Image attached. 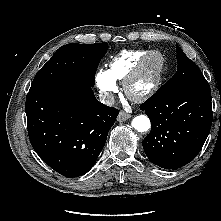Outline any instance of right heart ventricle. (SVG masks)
<instances>
[{"mask_svg": "<svg viewBox=\"0 0 221 221\" xmlns=\"http://www.w3.org/2000/svg\"><path fill=\"white\" fill-rule=\"evenodd\" d=\"M146 52L145 50H123L113 57L108 70L116 80L123 81Z\"/></svg>", "mask_w": 221, "mask_h": 221, "instance_id": "1", "label": "right heart ventricle"}]
</instances>
